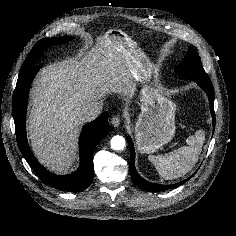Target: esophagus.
Masks as SVG:
<instances>
[{"instance_id":"obj_1","label":"esophagus","mask_w":236,"mask_h":236,"mask_svg":"<svg viewBox=\"0 0 236 236\" xmlns=\"http://www.w3.org/2000/svg\"><path fill=\"white\" fill-rule=\"evenodd\" d=\"M121 123V118L119 116H113L111 119V124L114 127H118Z\"/></svg>"}]
</instances>
